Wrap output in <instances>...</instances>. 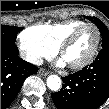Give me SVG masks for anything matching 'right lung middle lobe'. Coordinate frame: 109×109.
<instances>
[{
  "instance_id": "1",
  "label": "right lung middle lobe",
  "mask_w": 109,
  "mask_h": 109,
  "mask_svg": "<svg viewBox=\"0 0 109 109\" xmlns=\"http://www.w3.org/2000/svg\"><path fill=\"white\" fill-rule=\"evenodd\" d=\"M23 28H18L14 26L1 25V41L4 43L15 45L17 33Z\"/></svg>"
}]
</instances>
